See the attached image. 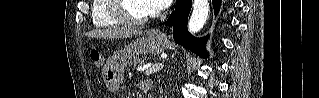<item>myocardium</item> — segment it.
Returning <instances> with one entry per match:
<instances>
[{
    "label": "myocardium",
    "instance_id": "myocardium-1",
    "mask_svg": "<svg viewBox=\"0 0 319 98\" xmlns=\"http://www.w3.org/2000/svg\"><path fill=\"white\" fill-rule=\"evenodd\" d=\"M121 3L120 0H109V12L120 24L139 27L153 18L152 13L141 19L130 18L123 13Z\"/></svg>",
    "mask_w": 319,
    "mask_h": 98
}]
</instances>
